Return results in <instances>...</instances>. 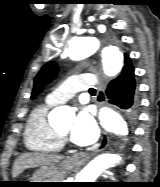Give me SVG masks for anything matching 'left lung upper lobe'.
<instances>
[{"mask_svg": "<svg viewBox=\"0 0 160 187\" xmlns=\"http://www.w3.org/2000/svg\"><path fill=\"white\" fill-rule=\"evenodd\" d=\"M124 56H129L128 54H125ZM58 67L55 62H49L45 64L34 80V88L32 92L31 98H35L37 94L43 89V86L47 83H49L57 74Z\"/></svg>", "mask_w": 160, "mask_h": 187, "instance_id": "obj_1", "label": "left lung upper lobe"}]
</instances>
